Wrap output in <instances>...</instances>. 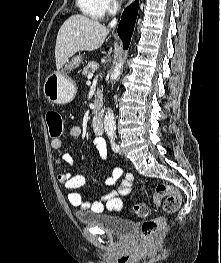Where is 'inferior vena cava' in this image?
I'll use <instances>...</instances> for the list:
<instances>
[{
    "label": "inferior vena cava",
    "instance_id": "obj_1",
    "mask_svg": "<svg viewBox=\"0 0 221 263\" xmlns=\"http://www.w3.org/2000/svg\"><path fill=\"white\" fill-rule=\"evenodd\" d=\"M117 24V19L114 18L111 22H110V26H115Z\"/></svg>",
    "mask_w": 221,
    "mask_h": 263
}]
</instances>
